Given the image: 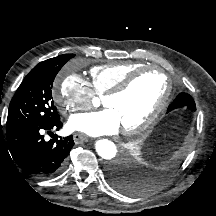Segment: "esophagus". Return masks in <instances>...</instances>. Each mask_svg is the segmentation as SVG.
Instances as JSON below:
<instances>
[{
	"label": "esophagus",
	"mask_w": 216,
	"mask_h": 216,
	"mask_svg": "<svg viewBox=\"0 0 216 216\" xmlns=\"http://www.w3.org/2000/svg\"><path fill=\"white\" fill-rule=\"evenodd\" d=\"M73 139H74L75 143H83L87 140V136L83 133L76 132L73 135Z\"/></svg>",
	"instance_id": "34e87169"
}]
</instances>
